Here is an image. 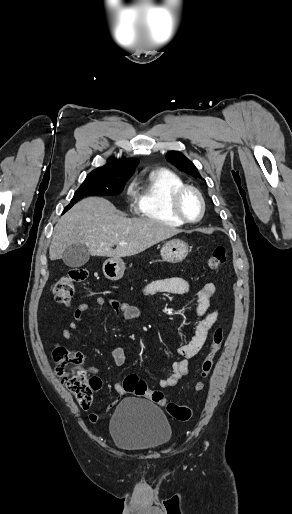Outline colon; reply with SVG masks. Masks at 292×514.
Returning a JSON list of instances; mask_svg holds the SVG:
<instances>
[{"mask_svg":"<svg viewBox=\"0 0 292 514\" xmlns=\"http://www.w3.org/2000/svg\"><path fill=\"white\" fill-rule=\"evenodd\" d=\"M226 260V248L215 246L209 259L208 268L216 270ZM88 273L80 268H72L60 277L54 284L55 301L60 306H67L73 299L75 289L84 282ZM224 327L218 326L213 331L207 351L201 361L200 380L195 384V391L201 392L205 388L204 380L213 369V359L224 341ZM55 363V374L63 379L66 389L73 394L77 404L88 409L92 406L95 393L101 388V379L98 376L89 375L83 368L84 355L82 352L73 350L61 345H55L52 350ZM122 386L128 393L136 397L151 400L165 409L169 416L179 421L188 420L192 416V409L166 399L164 393L159 389L149 388L146 381L136 374H128ZM92 420L98 417L95 411L89 414Z\"/></svg>","mask_w":292,"mask_h":514,"instance_id":"colon-1","label":"colon"}]
</instances>
